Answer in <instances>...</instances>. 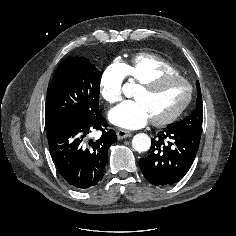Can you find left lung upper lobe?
I'll return each mask as SVG.
<instances>
[{
  "label": "left lung upper lobe",
  "instance_id": "1",
  "mask_svg": "<svg viewBox=\"0 0 236 236\" xmlns=\"http://www.w3.org/2000/svg\"><path fill=\"white\" fill-rule=\"evenodd\" d=\"M203 122L202 96L199 82H197V104L196 109L185 119L169 124L168 126L195 132L201 135Z\"/></svg>",
  "mask_w": 236,
  "mask_h": 236
}]
</instances>
